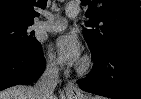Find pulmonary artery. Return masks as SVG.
<instances>
[{
	"label": "pulmonary artery",
	"mask_w": 141,
	"mask_h": 99,
	"mask_svg": "<svg viewBox=\"0 0 141 99\" xmlns=\"http://www.w3.org/2000/svg\"><path fill=\"white\" fill-rule=\"evenodd\" d=\"M79 14V6L77 4H69L66 7V15L69 18H75ZM47 20L40 23V28L48 32H57L66 28L67 20L59 15L45 13Z\"/></svg>",
	"instance_id": "pulmonary-artery-1"
}]
</instances>
